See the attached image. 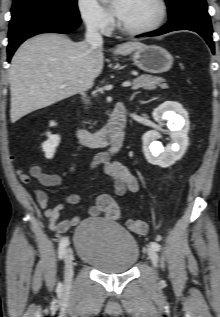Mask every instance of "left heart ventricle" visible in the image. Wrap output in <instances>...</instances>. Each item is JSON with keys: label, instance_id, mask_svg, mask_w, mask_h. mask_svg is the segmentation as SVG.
<instances>
[{"label": "left heart ventricle", "instance_id": "obj_1", "mask_svg": "<svg viewBox=\"0 0 220 317\" xmlns=\"http://www.w3.org/2000/svg\"><path fill=\"white\" fill-rule=\"evenodd\" d=\"M159 16L156 0H127L118 21L125 27L139 29L153 24Z\"/></svg>", "mask_w": 220, "mask_h": 317}]
</instances>
